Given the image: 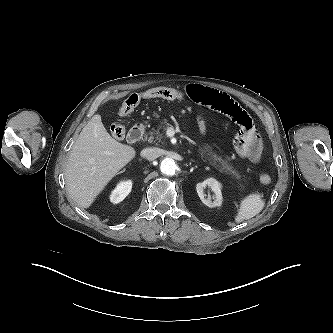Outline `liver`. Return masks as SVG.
<instances>
[{"label":"liver","instance_id":"6515ba94","mask_svg":"<svg viewBox=\"0 0 333 333\" xmlns=\"http://www.w3.org/2000/svg\"><path fill=\"white\" fill-rule=\"evenodd\" d=\"M136 155L133 147L113 139L101 116L94 115L76 140L66 167L65 181L71 198L88 208L109 181Z\"/></svg>","mask_w":333,"mask_h":333}]
</instances>
